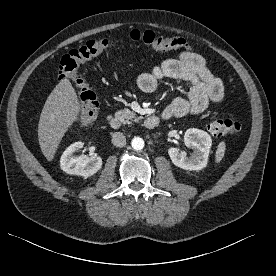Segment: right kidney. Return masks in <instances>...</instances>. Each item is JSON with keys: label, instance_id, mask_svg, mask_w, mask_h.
<instances>
[{"label": "right kidney", "instance_id": "right-kidney-1", "mask_svg": "<svg viewBox=\"0 0 276 276\" xmlns=\"http://www.w3.org/2000/svg\"><path fill=\"white\" fill-rule=\"evenodd\" d=\"M83 145L84 143L78 141L67 147L60 158V167L68 174L80 175L87 178L100 170L102 159L97 155L90 157L74 155Z\"/></svg>", "mask_w": 276, "mask_h": 276}]
</instances>
